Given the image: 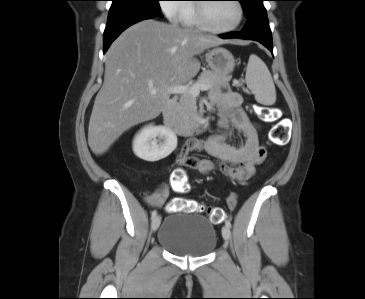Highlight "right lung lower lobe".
Instances as JSON below:
<instances>
[{
	"mask_svg": "<svg viewBox=\"0 0 365 299\" xmlns=\"http://www.w3.org/2000/svg\"><path fill=\"white\" fill-rule=\"evenodd\" d=\"M154 17H162L160 11H129L120 15L108 17L103 37V52L105 53L111 43L129 26Z\"/></svg>",
	"mask_w": 365,
	"mask_h": 299,
	"instance_id": "1",
	"label": "right lung lower lobe"
}]
</instances>
